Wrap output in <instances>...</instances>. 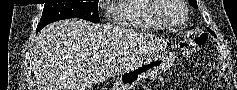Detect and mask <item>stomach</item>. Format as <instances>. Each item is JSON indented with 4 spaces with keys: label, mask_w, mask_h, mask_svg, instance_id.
<instances>
[{
    "label": "stomach",
    "mask_w": 237,
    "mask_h": 90,
    "mask_svg": "<svg viewBox=\"0 0 237 90\" xmlns=\"http://www.w3.org/2000/svg\"><path fill=\"white\" fill-rule=\"evenodd\" d=\"M172 60L170 55L163 53L123 70L118 75L113 90H131L139 81L166 71L170 67Z\"/></svg>",
    "instance_id": "0dacf381"
}]
</instances>
